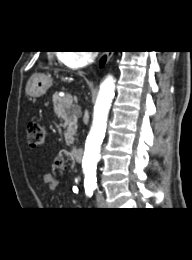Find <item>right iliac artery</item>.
Segmentation results:
<instances>
[{"label": "right iliac artery", "mask_w": 192, "mask_h": 260, "mask_svg": "<svg viewBox=\"0 0 192 260\" xmlns=\"http://www.w3.org/2000/svg\"><path fill=\"white\" fill-rule=\"evenodd\" d=\"M94 189H95L94 187H86V188H85L86 195H87L88 197H91L92 194H93Z\"/></svg>", "instance_id": "obj_1"}]
</instances>
